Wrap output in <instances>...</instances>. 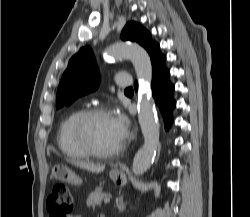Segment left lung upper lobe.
Listing matches in <instances>:
<instances>
[{
	"label": "left lung upper lobe",
	"instance_id": "obj_1",
	"mask_svg": "<svg viewBox=\"0 0 250 217\" xmlns=\"http://www.w3.org/2000/svg\"><path fill=\"white\" fill-rule=\"evenodd\" d=\"M121 38L139 43L149 55L157 46L150 33L136 22L126 24ZM98 85L99 74L93 52L90 47H83L70 59L63 73L57 90L56 108L70 105L78 97L96 90Z\"/></svg>",
	"mask_w": 250,
	"mask_h": 217
}]
</instances>
